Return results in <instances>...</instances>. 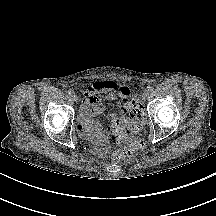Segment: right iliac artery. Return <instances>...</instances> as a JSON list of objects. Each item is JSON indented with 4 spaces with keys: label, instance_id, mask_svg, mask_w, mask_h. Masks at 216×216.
<instances>
[{
    "label": "right iliac artery",
    "instance_id": "right-iliac-artery-1",
    "mask_svg": "<svg viewBox=\"0 0 216 216\" xmlns=\"http://www.w3.org/2000/svg\"><path fill=\"white\" fill-rule=\"evenodd\" d=\"M73 93H74L73 90H68V94H69V95H72Z\"/></svg>",
    "mask_w": 216,
    "mask_h": 216
}]
</instances>
